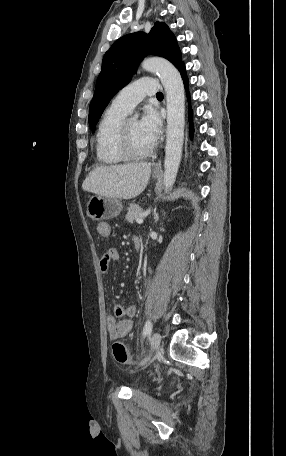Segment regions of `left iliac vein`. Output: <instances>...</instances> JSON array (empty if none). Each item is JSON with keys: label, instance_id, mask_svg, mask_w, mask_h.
<instances>
[{"label": "left iliac vein", "instance_id": "left-iliac-vein-1", "mask_svg": "<svg viewBox=\"0 0 286 456\" xmlns=\"http://www.w3.org/2000/svg\"><path fill=\"white\" fill-rule=\"evenodd\" d=\"M160 341H161V337H160V334L155 332L153 333L152 337H151V353L150 355L145 358L141 364L144 365L147 363V361L150 359V356L159 349V346H160Z\"/></svg>", "mask_w": 286, "mask_h": 456}]
</instances>
